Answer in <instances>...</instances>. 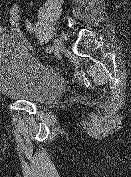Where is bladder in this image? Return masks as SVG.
Segmentation results:
<instances>
[{"label":"bladder","mask_w":131,"mask_h":177,"mask_svg":"<svg viewBox=\"0 0 131 177\" xmlns=\"http://www.w3.org/2000/svg\"><path fill=\"white\" fill-rule=\"evenodd\" d=\"M65 84L64 76L35 59L18 37L0 39V94L45 103L61 95Z\"/></svg>","instance_id":"obj_1"}]
</instances>
